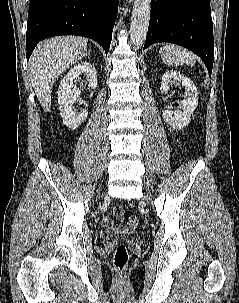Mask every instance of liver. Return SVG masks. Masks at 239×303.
Segmentation results:
<instances>
[{
    "label": "liver",
    "mask_w": 239,
    "mask_h": 303,
    "mask_svg": "<svg viewBox=\"0 0 239 303\" xmlns=\"http://www.w3.org/2000/svg\"><path fill=\"white\" fill-rule=\"evenodd\" d=\"M88 40L78 36L47 39L37 45L29 71L33 89L45 112L51 109V91L56 79L87 55Z\"/></svg>",
    "instance_id": "6515ba94"
}]
</instances>
